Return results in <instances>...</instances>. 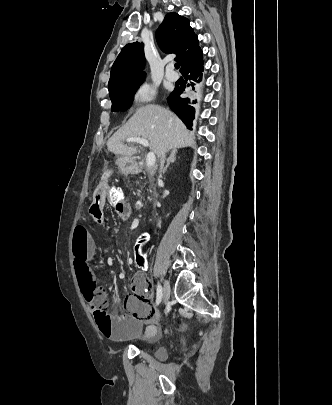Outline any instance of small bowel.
<instances>
[{
  "mask_svg": "<svg viewBox=\"0 0 332 405\" xmlns=\"http://www.w3.org/2000/svg\"><path fill=\"white\" fill-rule=\"evenodd\" d=\"M120 166L128 172H135L138 169L137 162L132 156H123L120 159ZM100 181L102 183L96 184L94 198L88 209V216L92 217L97 223L104 221L106 199L110 195L108 191L109 185L107 184L111 181V171L109 169L102 171ZM116 207L119 210L123 209L121 212H115L121 219L127 220L131 216L132 207L128 199L124 206L119 203ZM95 249V242L88 230L83 226H77L74 229L72 239L73 266L77 276V288L79 292H84L85 302H95L94 308L101 310L103 303L97 301V294L95 293L99 292V280L90 266ZM114 263V259L108 260L110 266H113ZM125 263L131 265L133 259L126 257ZM130 288L132 294L125 301L128 313L113 315V311H92L93 325L98 326L101 334L110 340L124 341L138 337L150 339L157 333L155 322L145 327L146 319L151 315L152 311L149 304L148 283L142 273L133 277Z\"/></svg>",
  "mask_w": 332,
  "mask_h": 405,
  "instance_id": "obj_1",
  "label": "small bowel"
}]
</instances>
